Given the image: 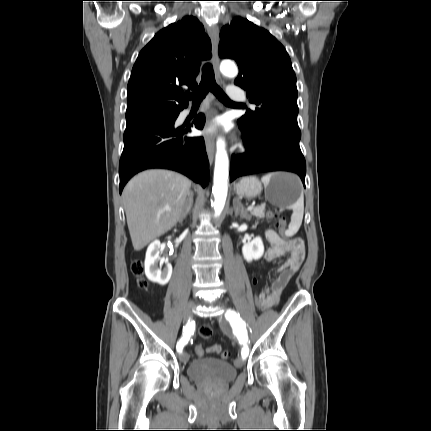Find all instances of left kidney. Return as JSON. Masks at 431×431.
Returning <instances> with one entry per match:
<instances>
[{"label": "left kidney", "instance_id": "left-kidney-1", "mask_svg": "<svg viewBox=\"0 0 431 431\" xmlns=\"http://www.w3.org/2000/svg\"><path fill=\"white\" fill-rule=\"evenodd\" d=\"M242 253L247 262L260 259L264 253V246L261 238L256 237L251 242L245 243L242 247Z\"/></svg>", "mask_w": 431, "mask_h": 431}]
</instances>
